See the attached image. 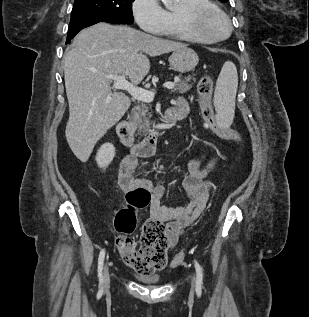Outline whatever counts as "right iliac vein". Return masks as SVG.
<instances>
[{"instance_id": "obj_1", "label": "right iliac vein", "mask_w": 309, "mask_h": 317, "mask_svg": "<svg viewBox=\"0 0 309 317\" xmlns=\"http://www.w3.org/2000/svg\"><path fill=\"white\" fill-rule=\"evenodd\" d=\"M104 288L108 289L109 284H110V279H109V269H108V263L105 264V269H104Z\"/></svg>"}]
</instances>
